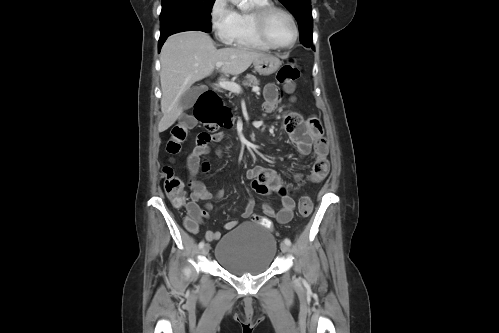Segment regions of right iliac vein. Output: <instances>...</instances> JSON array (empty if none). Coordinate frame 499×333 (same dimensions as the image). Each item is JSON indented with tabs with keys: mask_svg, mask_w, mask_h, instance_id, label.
<instances>
[{
	"mask_svg": "<svg viewBox=\"0 0 499 333\" xmlns=\"http://www.w3.org/2000/svg\"><path fill=\"white\" fill-rule=\"evenodd\" d=\"M209 250H210V246H209V244H205V245L203 246L202 250H201V253H202L203 255H205V256H206V255H208Z\"/></svg>",
	"mask_w": 499,
	"mask_h": 333,
	"instance_id": "1",
	"label": "right iliac vein"
}]
</instances>
